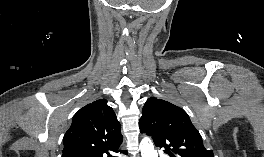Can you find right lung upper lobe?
I'll use <instances>...</instances> for the list:
<instances>
[{"label": "right lung upper lobe", "mask_w": 264, "mask_h": 157, "mask_svg": "<svg viewBox=\"0 0 264 157\" xmlns=\"http://www.w3.org/2000/svg\"><path fill=\"white\" fill-rule=\"evenodd\" d=\"M106 102L94 101L74 115L63 139L62 157H103L109 151H120L121 126Z\"/></svg>", "instance_id": "right-lung-upper-lobe-1"}]
</instances>
